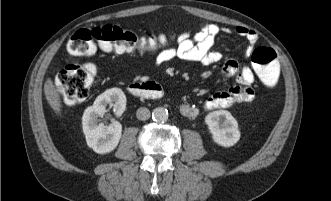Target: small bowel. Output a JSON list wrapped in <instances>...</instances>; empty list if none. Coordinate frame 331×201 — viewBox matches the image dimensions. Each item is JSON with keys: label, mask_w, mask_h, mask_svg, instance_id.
Returning a JSON list of instances; mask_svg holds the SVG:
<instances>
[{"label": "small bowel", "mask_w": 331, "mask_h": 201, "mask_svg": "<svg viewBox=\"0 0 331 201\" xmlns=\"http://www.w3.org/2000/svg\"><path fill=\"white\" fill-rule=\"evenodd\" d=\"M231 33L228 27L216 24H202L198 31L191 36L189 32L181 33L174 47L159 51L155 57L157 66L173 59L199 62L203 65H213L222 59L219 51L213 49L215 39L219 33ZM235 32L249 43L247 54H250L253 46L258 42L259 36L256 31L245 27H237ZM225 77H235L236 84L227 90L219 91L211 95L204 103V110L228 108L236 103L249 102L254 98L252 84L255 81L254 69L250 66L239 67L235 59L225 61L222 67ZM179 112L185 117H195L199 108L190 103H182Z\"/></svg>", "instance_id": "1"}]
</instances>
